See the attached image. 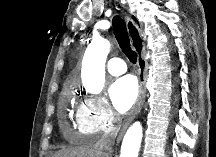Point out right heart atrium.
Instances as JSON below:
<instances>
[{
  "mask_svg": "<svg viewBox=\"0 0 216 157\" xmlns=\"http://www.w3.org/2000/svg\"><path fill=\"white\" fill-rule=\"evenodd\" d=\"M117 114L107 100L99 96H86L75 114L76 129L89 136L106 135L116 129Z\"/></svg>",
  "mask_w": 216,
  "mask_h": 157,
  "instance_id": "d8ad5b80",
  "label": "right heart atrium"
}]
</instances>
